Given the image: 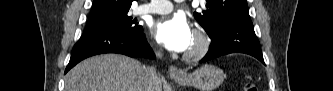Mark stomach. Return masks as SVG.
<instances>
[{"label":"stomach","instance_id":"1","mask_svg":"<svg viewBox=\"0 0 333 91\" xmlns=\"http://www.w3.org/2000/svg\"><path fill=\"white\" fill-rule=\"evenodd\" d=\"M223 70L216 66L204 65L190 74L174 80L181 86H193L200 91H214L224 81Z\"/></svg>","mask_w":333,"mask_h":91}]
</instances>
